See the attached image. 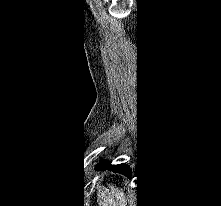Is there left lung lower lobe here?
Segmentation results:
<instances>
[{
	"label": "left lung lower lobe",
	"instance_id": "0a47b994",
	"mask_svg": "<svg viewBox=\"0 0 221 206\" xmlns=\"http://www.w3.org/2000/svg\"><path fill=\"white\" fill-rule=\"evenodd\" d=\"M97 169H109L113 172L122 173L125 176L131 178L132 176V168L128 163H121L118 165H110L109 162L100 160L98 164L96 165Z\"/></svg>",
	"mask_w": 221,
	"mask_h": 206
}]
</instances>
